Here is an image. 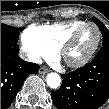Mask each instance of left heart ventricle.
<instances>
[{"instance_id": "1", "label": "left heart ventricle", "mask_w": 109, "mask_h": 109, "mask_svg": "<svg viewBox=\"0 0 109 109\" xmlns=\"http://www.w3.org/2000/svg\"><path fill=\"white\" fill-rule=\"evenodd\" d=\"M96 40L97 30L92 26L85 28L67 52V58L71 61L80 60L90 52Z\"/></svg>"}]
</instances>
